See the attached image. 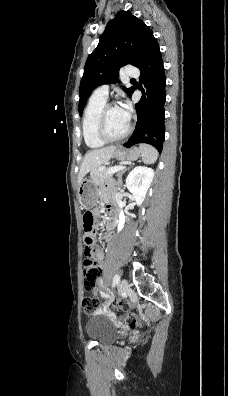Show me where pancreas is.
Here are the masks:
<instances>
[{
  "label": "pancreas",
  "instance_id": "1",
  "mask_svg": "<svg viewBox=\"0 0 228 396\" xmlns=\"http://www.w3.org/2000/svg\"><path fill=\"white\" fill-rule=\"evenodd\" d=\"M109 168H104L101 170H95L91 174V179L96 185H101L103 184L106 180H108L112 175H108L107 171Z\"/></svg>",
  "mask_w": 228,
  "mask_h": 396
}]
</instances>
